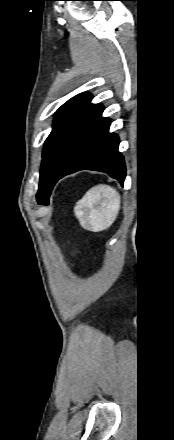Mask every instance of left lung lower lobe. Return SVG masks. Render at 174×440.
Returning a JSON list of instances; mask_svg holds the SVG:
<instances>
[{"label": "left lung lower lobe", "mask_w": 174, "mask_h": 440, "mask_svg": "<svg viewBox=\"0 0 174 440\" xmlns=\"http://www.w3.org/2000/svg\"><path fill=\"white\" fill-rule=\"evenodd\" d=\"M103 110L100 106L86 123L55 183L68 174L89 169L105 172L123 185L126 170L118 151L119 138L109 133L110 119L101 116Z\"/></svg>", "instance_id": "0a47b994"}]
</instances>
